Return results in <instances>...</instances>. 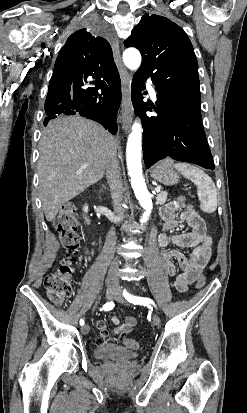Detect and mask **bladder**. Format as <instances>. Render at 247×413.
<instances>
[{"instance_id": "bladder-1", "label": "bladder", "mask_w": 247, "mask_h": 413, "mask_svg": "<svg viewBox=\"0 0 247 413\" xmlns=\"http://www.w3.org/2000/svg\"><path fill=\"white\" fill-rule=\"evenodd\" d=\"M137 352L131 351L126 348H118L110 345L103 347H95L96 359H123L129 360L136 356Z\"/></svg>"}]
</instances>
